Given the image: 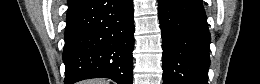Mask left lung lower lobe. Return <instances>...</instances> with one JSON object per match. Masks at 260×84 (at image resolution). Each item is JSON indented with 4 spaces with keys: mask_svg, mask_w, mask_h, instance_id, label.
<instances>
[{
    "mask_svg": "<svg viewBox=\"0 0 260 84\" xmlns=\"http://www.w3.org/2000/svg\"><path fill=\"white\" fill-rule=\"evenodd\" d=\"M163 84H208L210 33L201 0H158Z\"/></svg>",
    "mask_w": 260,
    "mask_h": 84,
    "instance_id": "left-lung-lower-lobe-1",
    "label": "left lung lower lobe"
}]
</instances>
